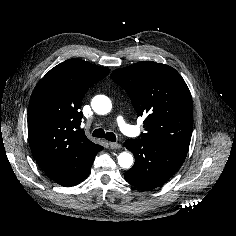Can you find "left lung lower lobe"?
Returning a JSON list of instances; mask_svg holds the SVG:
<instances>
[{
  "label": "left lung lower lobe",
  "instance_id": "1",
  "mask_svg": "<svg viewBox=\"0 0 236 236\" xmlns=\"http://www.w3.org/2000/svg\"><path fill=\"white\" fill-rule=\"evenodd\" d=\"M124 145L135 156L134 166L124 177L128 183L145 191L167 182L186 158V153L139 138L129 139Z\"/></svg>",
  "mask_w": 236,
  "mask_h": 236
}]
</instances>
